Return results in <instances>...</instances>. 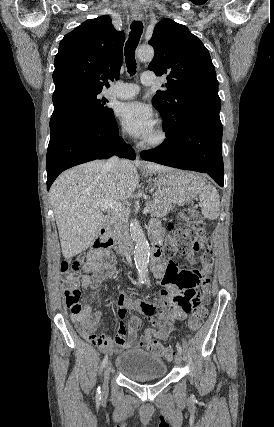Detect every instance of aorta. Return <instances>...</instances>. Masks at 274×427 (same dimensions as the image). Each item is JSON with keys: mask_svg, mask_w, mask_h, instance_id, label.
Listing matches in <instances>:
<instances>
[{"mask_svg": "<svg viewBox=\"0 0 274 427\" xmlns=\"http://www.w3.org/2000/svg\"><path fill=\"white\" fill-rule=\"evenodd\" d=\"M137 57L141 61L150 62L154 57V50L150 46H143L139 48ZM130 234L132 240L135 242L134 261L138 270V276L140 280H145L148 272L150 246L137 220H134L130 224Z\"/></svg>", "mask_w": 274, "mask_h": 427, "instance_id": "obj_1", "label": "aorta"}]
</instances>
